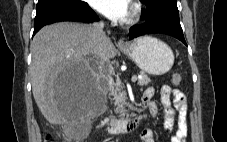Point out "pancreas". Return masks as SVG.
Here are the masks:
<instances>
[{"label":"pancreas","instance_id":"cf45deb5","mask_svg":"<svg viewBox=\"0 0 227 142\" xmlns=\"http://www.w3.org/2000/svg\"><path fill=\"white\" fill-rule=\"evenodd\" d=\"M150 82V78L145 74L141 73V78L138 80V85L146 86ZM113 99L115 100L114 106L116 107V112L126 113V107L129 106L126 92L123 90L121 82L118 80L115 85V89L112 92Z\"/></svg>","mask_w":227,"mask_h":142}]
</instances>
